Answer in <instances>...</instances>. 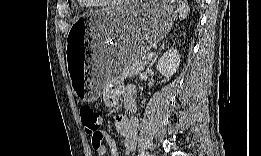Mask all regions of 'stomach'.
I'll use <instances>...</instances> for the list:
<instances>
[{"mask_svg":"<svg viewBox=\"0 0 261 156\" xmlns=\"http://www.w3.org/2000/svg\"><path fill=\"white\" fill-rule=\"evenodd\" d=\"M178 11L176 2H123L79 18L66 43L75 95L85 102L97 100L110 79L165 37ZM81 40H90V56H76L74 44Z\"/></svg>","mask_w":261,"mask_h":156,"instance_id":"1","label":"stomach"}]
</instances>
